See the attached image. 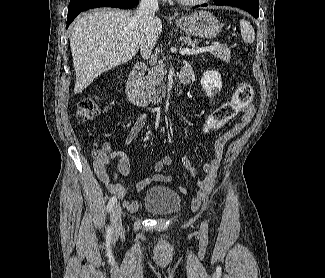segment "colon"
I'll return each mask as SVG.
<instances>
[{"mask_svg":"<svg viewBox=\"0 0 325 278\" xmlns=\"http://www.w3.org/2000/svg\"><path fill=\"white\" fill-rule=\"evenodd\" d=\"M253 94V87L249 82H239L231 100L214 110L204 121L203 131L208 133L222 127L250 104ZM103 109V106L95 99L84 98L78 104L77 119L83 124L88 123L98 116ZM99 154V151L95 152V155Z\"/></svg>","mask_w":325,"mask_h":278,"instance_id":"colon-1","label":"colon"}]
</instances>
